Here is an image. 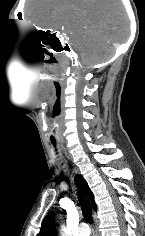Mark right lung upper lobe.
I'll list each match as a JSON object with an SVG mask.
<instances>
[{"label":"right lung upper lobe","instance_id":"obj_1","mask_svg":"<svg viewBox=\"0 0 145 236\" xmlns=\"http://www.w3.org/2000/svg\"><path fill=\"white\" fill-rule=\"evenodd\" d=\"M75 180L77 182V185L81 188V190L85 193V195L90 200L93 209L96 210L97 206L94 202L93 193L90 190L84 178L80 174H78L75 176ZM56 235H57V232L55 229V214L54 212H51L43 220L41 230L37 236H56Z\"/></svg>","mask_w":145,"mask_h":236}]
</instances>
